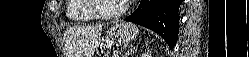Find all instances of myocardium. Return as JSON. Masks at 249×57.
<instances>
[{
  "label": "myocardium",
  "instance_id": "f54148a6",
  "mask_svg": "<svg viewBox=\"0 0 249 57\" xmlns=\"http://www.w3.org/2000/svg\"><path fill=\"white\" fill-rule=\"evenodd\" d=\"M100 0H88L87 6L88 9L99 19L101 20H114L119 17H121L128 9V3L126 1H123V4L121 8L115 12V13H103L100 10V5H99Z\"/></svg>",
  "mask_w": 249,
  "mask_h": 57
}]
</instances>
